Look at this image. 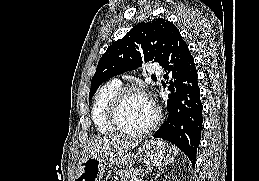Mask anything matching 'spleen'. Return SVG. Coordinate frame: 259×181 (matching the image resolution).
<instances>
[{
	"instance_id": "3e777b00",
	"label": "spleen",
	"mask_w": 259,
	"mask_h": 181,
	"mask_svg": "<svg viewBox=\"0 0 259 181\" xmlns=\"http://www.w3.org/2000/svg\"><path fill=\"white\" fill-rule=\"evenodd\" d=\"M172 148L174 150V155L176 156L179 153V150L175 146H172Z\"/></svg>"
}]
</instances>
